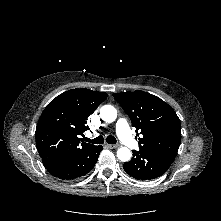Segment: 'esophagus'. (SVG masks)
I'll list each match as a JSON object with an SVG mask.
<instances>
[{
	"label": "esophagus",
	"instance_id": "34e87169",
	"mask_svg": "<svg viewBox=\"0 0 221 221\" xmlns=\"http://www.w3.org/2000/svg\"><path fill=\"white\" fill-rule=\"evenodd\" d=\"M106 147H108V148H118L119 147V145H117V144H115V145H113V144H106Z\"/></svg>",
	"mask_w": 221,
	"mask_h": 221
}]
</instances>
